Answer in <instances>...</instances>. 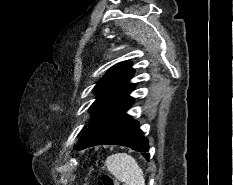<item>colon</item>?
I'll use <instances>...</instances> for the list:
<instances>
[{
    "instance_id": "colon-1",
    "label": "colon",
    "mask_w": 233,
    "mask_h": 185,
    "mask_svg": "<svg viewBox=\"0 0 233 185\" xmlns=\"http://www.w3.org/2000/svg\"><path fill=\"white\" fill-rule=\"evenodd\" d=\"M99 185H119L110 174L104 173L100 177Z\"/></svg>"
}]
</instances>
